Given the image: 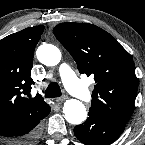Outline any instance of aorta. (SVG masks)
<instances>
[{"label": "aorta", "mask_w": 145, "mask_h": 145, "mask_svg": "<svg viewBox=\"0 0 145 145\" xmlns=\"http://www.w3.org/2000/svg\"><path fill=\"white\" fill-rule=\"evenodd\" d=\"M37 59L46 66H55L61 61L60 50L52 44H42L36 51ZM65 119L68 123L79 125L87 118L84 104L76 99L66 100L63 107Z\"/></svg>", "instance_id": "obj_1"}]
</instances>
